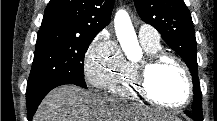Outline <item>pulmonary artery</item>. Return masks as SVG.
<instances>
[{"label": "pulmonary artery", "instance_id": "pulmonary-artery-1", "mask_svg": "<svg viewBox=\"0 0 217 121\" xmlns=\"http://www.w3.org/2000/svg\"><path fill=\"white\" fill-rule=\"evenodd\" d=\"M138 37L142 42L158 44L160 42V35L158 31L148 24H142L138 29Z\"/></svg>", "mask_w": 217, "mask_h": 121}]
</instances>
